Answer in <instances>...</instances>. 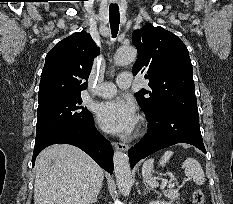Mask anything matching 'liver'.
I'll return each instance as SVG.
<instances>
[{
	"instance_id": "liver-1",
	"label": "liver",
	"mask_w": 233,
	"mask_h": 204,
	"mask_svg": "<svg viewBox=\"0 0 233 204\" xmlns=\"http://www.w3.org/2000/svg\"><path fill=\"white\" fill-rule=\"evenodd\" d=\"M35 204H91L103 185L101 167L79 148L56 144L35 163Z\"/></svg>"
}]
</instances>
